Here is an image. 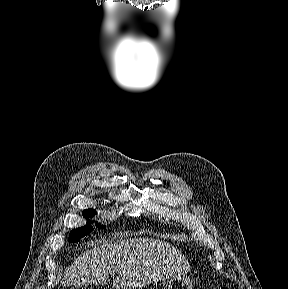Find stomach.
Returning a JSON list of instances; mask_svg holds the SVG:
<instances>
[{"instance_id": "obj_1", "label": "stomach", "mask_w": 288, "mask_h": 289, "mask_svg": "<svg viewBox=\"0 0 288 289\" xmlns=\"http://www.w3.org/2000/svg\"><path fill=\"white\" fill-rule=\"evenodd\" d=\"M168 289H193V283L186 275H175L168 281Z\"/></svg>"}]
</instances>
